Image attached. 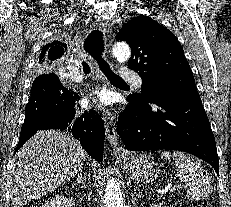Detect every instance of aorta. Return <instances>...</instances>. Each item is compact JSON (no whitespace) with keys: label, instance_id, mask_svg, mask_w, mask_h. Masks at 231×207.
Segmentation results:
<instances>
[{"label":"aorta","instance_id":"aorta-1","mask_svg":"<svg viewBox=\"0 0 231 207\" xmlns=\"http://www.w3.org/2000/svg\"><path fill=\"white\" fill-rule=\"evenodd\" d=\"M112 54L118 60L126 61L131 57V50L127 43L118 42L114 44ZM103 207H124L120 183L115 178L106 183Z\"/></svg>","mask_w":231,"mask_h":207}]
</instances>
